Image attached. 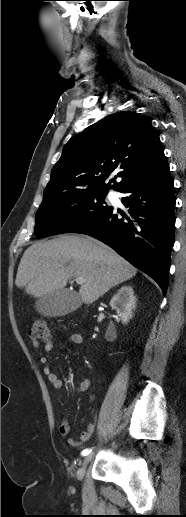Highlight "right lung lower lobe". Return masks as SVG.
I'll list each match as a JSON object with an SVG mask.
<instances>
[{
    "label": "right lung lower lobe",
    "instance_id": "right-lung-lower-lobe-1",
    "mask_svg": "<svg viewBox=\"0 0 186 517\" xmlns=\"http://www.w3.org/2000/svg\"><path fill=\"white\" fill-rule=\"evenodd\" d=\"M120 192L129 216L118 218L111 207L88 224L74 230L112 247L132 265L152 277L166 293L170 253L174 244V183L167 164Z\"/></svg>",
    "mask_w": 186,
    "mask_h": 517
}]
</instances>
